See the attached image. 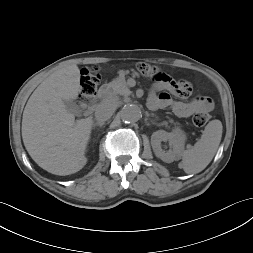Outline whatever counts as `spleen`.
Here are the masks:
<instances>
[{"label": "spleen", "mask_w": 253, "mask_h": 253, "mask_svg": "<svg viewBox=\"0 0 253 253\" xmlns=\"http://www.w3.org/2000/svg\"><path fill=\"white\" fill-rule=\"evenodd\" d=\"M223 126L221 121L212 120L196 144L182 154L183 170L187 174H196L203 171L211 162L219 147Z\"/></svg>", "instance_id": "3e777b00"}]
</instances>
